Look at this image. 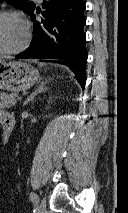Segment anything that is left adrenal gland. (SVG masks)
I'll return each instance as SVG.
<instances>
[{
	"label": "left adrenal gland",
	"instance_id": "1",
	"mask_svg": "<svg viewBox=\"0 0 128 213\" xmlns=\"http://www.w3.org/2000/svg\"><path fill=\"white\" fill-rule=\"evenodd\" d=\"M47 82H41L37 88L35 89V91L24 101L23 103V107L26 106L30 101H32L36 95H38L39 93L42 92H46L48 90L47 87H45Z\"/></svg>",
	"mask_w": 128,
	"mask_h": 213
}]
</instances>
